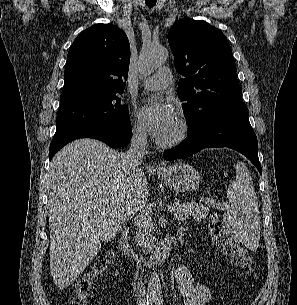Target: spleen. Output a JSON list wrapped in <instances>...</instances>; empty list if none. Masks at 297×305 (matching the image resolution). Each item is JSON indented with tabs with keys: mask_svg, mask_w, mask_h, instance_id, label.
<instances>
[{
	"mask_svg": "<svg viewBox=\"0 0 297 305\" xmlns=\"http://www.w3.org/2000/svg\"><path fill=\"white\" fill-rule=\"evenodd\" d=\"M236 178L227 189L230 208L223 215L227 228L249 249H257L260 242V215L257 195L246 165L237 162Z\"/></svg>",
	"mask_w": 297,
	"mask_h": 305,
	"instance_id": "obj_1",
	"label": "spleen"
}]
</instances>
